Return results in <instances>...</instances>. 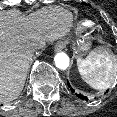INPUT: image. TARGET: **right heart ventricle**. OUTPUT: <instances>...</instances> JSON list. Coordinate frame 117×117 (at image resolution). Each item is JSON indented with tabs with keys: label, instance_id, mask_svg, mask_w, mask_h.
<instances>
[{
	"label": "right heart ventricle",
	"instance_id": "right-heart-ventricle-1",
	"mask_svg": "<svg viewBox=\"0 0 117 117\" xmlns=\"http://www.w3.org/2000/svg\"><path fill=\"white\" fill-rule=\"evenodd\" d=\"M93 25H94L93 22H91L90 20H87V19L80 20L76 24L77 29H79V30L89 29V28L93 27Z\"/></svg>",
	"mask_w": 117,
	"mask_h": 117
}]
</instances>
